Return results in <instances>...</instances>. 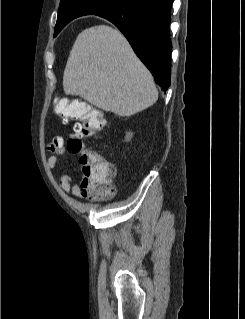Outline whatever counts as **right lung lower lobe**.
Returning <instances> with one entry per match:
<instances>
[{"label": "right lung lower lobe", "mask_w": 245, "mask_h": 319, "mask_svg": "<svg viewBox=\"0 0 245 319\" xmlns=\"http://www.w3.org/2000/svg\"><path fill=\"white\" fill-rule=\"evenodd\" d=\"M173 1L125 0L96 14L120 29L163 91L170 86L172 43L169 24Z\"/></svg>", "instance_id": "1"}]
</instances>
